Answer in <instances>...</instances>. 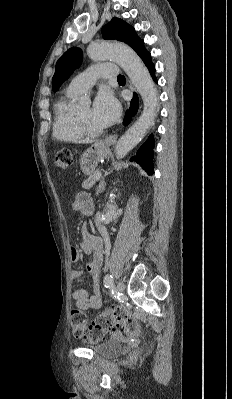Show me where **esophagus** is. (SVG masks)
<instances>
[{
	"label": "esophagus",
	"instance_id": "obj_1",
	"mask_svg": "<svg viewBox=\"0 0 232 399\" xmlns=\"http://www.w3.org/2000/svg\"><path fill=\"white\" fill-rule=\"evenodd\" d=\"M129 88L133 90V87L129 85ZM117 140V135H108V137H105L104 139L100 140L98 142L99 145H103L106 147H110L111 145L114 144V142Z\"/></svg>",
	"mask_w": 232,
	"mask_h": 399
}]
</instances>
